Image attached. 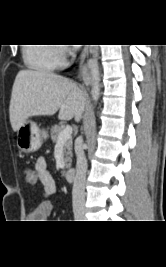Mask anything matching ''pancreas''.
<instances>
[{
    "mask_svg": "<svg viewBox=\"0 0 166 267\" xmlns=\"http://www.w3.org/2000/svg\"><path fill=\"white\" fill-rule=\"evenodd\" d=\"M64 129V126L54 125L51 128V139L53 142L58 141L59 134ZM64 161H65V167L70 168L71 162H72V142L71 140H66L64 142Z\"/></svg>",
    "mask_w": 166,
    "mask_h": 267,
    "instance_id": "cf45deb5",
    "label": "pancreas"
}]
</instances>
